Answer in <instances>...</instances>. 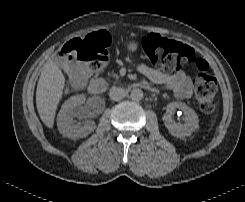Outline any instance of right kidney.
I'll list each match as a JSON object with an SVG mask.
<instances>
[{
    "mask_svg": "<svg viewBox=\"0 0 245 202\" xmlns=\"http://www.w3.org/2000/svg\"><path fill=\"white\" fill-rule=\"evenodd\" d=\"M85 101V95L81 94L70 97L62 105L57 116V126L63 136L70 139L83 138L95 129L93 121L80 124L74 120L75 117H83L82 110L77 109V107L84 104Z\"/></svg>",
    "mask_w": 245,
    "mask_h": 202,
    "instance_id": "obj_1",
    "label": "right kidney"
}]
</instances>
